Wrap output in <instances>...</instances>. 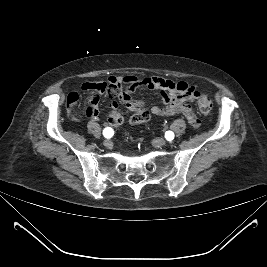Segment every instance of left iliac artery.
<instances>
[{
    "instance_id": "obj_1",
    "label": "left iliac artery",
    "mask_w": 267,
    "mask_h": 267,
    "mask_svg": "<svg viewBox=\"0 0 267 267\" xmlns=\"http://www.w3.org/2000/svg\"><path fill=\"white\" fill-rule=\"evenodd\" d=\"M165 137L168 141H171L174 138V133L172 131H167Z\"/></svg>"
}]
</instances>
